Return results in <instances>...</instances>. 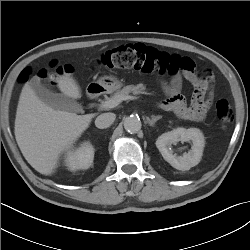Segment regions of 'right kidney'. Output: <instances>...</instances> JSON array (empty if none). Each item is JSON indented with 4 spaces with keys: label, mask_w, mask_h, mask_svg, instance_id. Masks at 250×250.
I'll list each match as a JSON object with an SVG mask.
<instances>
[{
    "label": "right kidney",
    "mask_w": 250,
    "mask_h": 250,
    "mask_svg": "<svg viewBox=\"0 0 250 250\" xmlns=\"http://www.w3.org/2000/svg\"><path fill=\"white\" fill-rule=\"evenodd\" d=\"M93 159V146L84 142L78 148L67 151L64 163L70 171L86 170L92 165Z\"/></svg>",
    "instance_id": "obj_1"
}]
</instances>
